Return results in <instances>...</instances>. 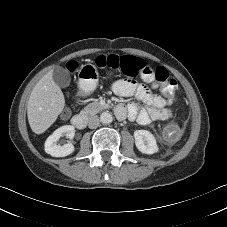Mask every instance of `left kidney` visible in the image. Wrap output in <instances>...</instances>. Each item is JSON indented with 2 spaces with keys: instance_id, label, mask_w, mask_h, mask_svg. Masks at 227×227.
<instances>
[{
  "instance_id": "obj_1",
  "label": "left kidney",
  "mask_w": 227,
  "mask_h": 227,
  "mask_svg": "<svg viewBox=\"0 0 227 227\" xmlns=\"http://www.w3.org/2000/svg\"><path fill=\"white\" fill-rule=\"evenodd\" d=\"M135 145L144 154H154L158 152L156 139L147 130H136L134 132Z\"/></svg>"
}]
</instances>
